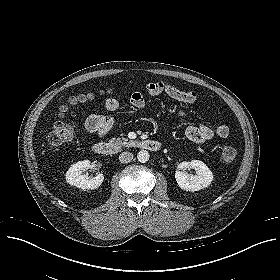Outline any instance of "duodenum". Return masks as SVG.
Listing matches in <instances>:
<instances>
[{
    "label": "duodenum",
    "instance_id": "1",
    "mask_svg": "<svg viewBox=\"0 0 280 280\" xmlns=\"http://www.w3.org/2000/svg\"><path fill=\"white\" fill-rule=\"evenodd\" d=\"M133 147L157 153L161 148V144L155 139H143L136 141ZM93 151L98 155L108 156L118 154L121 151V147L111 143L97 142L94 144Z\"/></svg>",
    "mask_w": 280,
    "mask_h": 280
}]
</instances>
